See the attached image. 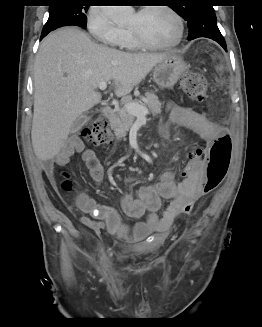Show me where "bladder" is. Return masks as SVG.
<instances>
[{"label":"bladder","mask_w":262,"mask_h":327,"mask_svg":"<svg viewBox=\"0 0 262 327\" xmlns=\"http://www.w3.org/2000/svg\"><path fill=\"white\" fill-rule=\"evenodd\" d=\"M129 249L138 255H146L152 253L155 250V248L148 243L135 244L129 246Z\"/></svg>","instance_id":"obj_1"}]
</instances>
